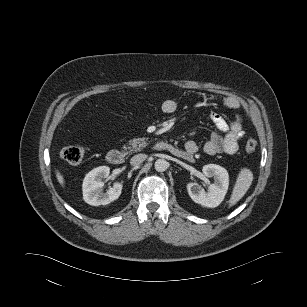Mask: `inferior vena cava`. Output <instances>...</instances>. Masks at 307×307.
Segmentation results:
<instances>
[{
    "label": "inferior vena cava",
    "mask_w": 307,
    "mask_h": 307,
    "mask_svg": "<svg viewBox=\"0 0 307 307\" xmlns=\"http://www.w3.org/2000/svg\"><path fill=\"white\" fill-rule=\"evenodd\" d=\"M147 158V155L146 154H137L135 156H133L130 160V164L132 166H136V165H139L141 164L143 161H145Z\"/></svg>",
    "instance_id": "1"
}]
</instances>
